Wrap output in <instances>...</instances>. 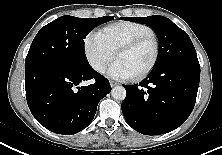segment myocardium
<instances>
[{
    "label": "myocardium",
    "instance_id": "myocardium-1",
    "mask_svg": "<svg viewBox=\"0 0 222 155\" xmlns=\"http://www.w3.org/2000/svg\"><path fill=\"white\" fill-rule=\"evenodd\" d=\"M148 40H152L153 43H154V47H155L154 56H153V59H152L151 63L142 72L133 76V78L135 80L144 79L156 67V65L158 63V60H159V57H160V41H159V38L157 37V35L155 33L141 35V36L123 44L116 51V57H118L119 54H121L123 52H126V51H131V50L135 49L136 47H138L139 45H141L142 43H144L145 41H148Z\"/></svg>",
    "mask_w": 222,
    "mask_h": 155
}]
</instances>
